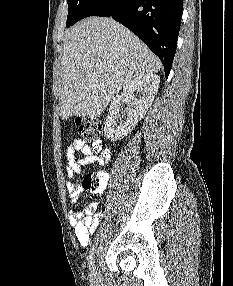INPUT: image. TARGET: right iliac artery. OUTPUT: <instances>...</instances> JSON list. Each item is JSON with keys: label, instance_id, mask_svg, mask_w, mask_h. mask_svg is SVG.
I'll return each mask as SVG.
<instances>
[{"label": "right iliac artery", "instance_id": "82829eb1", "mask_svg": "<svg viewBox=\"0 0 233 286\" xmlns=\"http://www.w3.org/2000/svg\"><path fill=\"white\" fill-rule=\"evenodd\" d=\"M94 253H95V246L93 245L89 251V256H88V264L90 270H92L94 266Z\"/></svg>", "mask_w": 233, "mask_h": 286}]
</instances>
